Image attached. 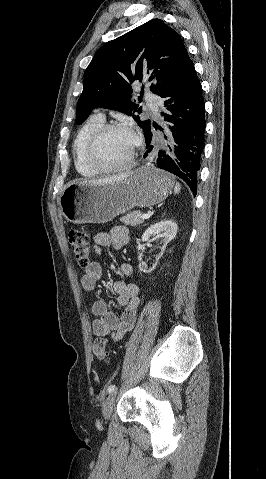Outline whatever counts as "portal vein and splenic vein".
Segmentation results:
<instances>
[{
    "mask_svg": "<svg viewBox=\"0 0 266 479\" xmlns=\"http://www.w3.org/2000/svg\"><path fill=\"white\" fill-rule=\"evenodd\" d=\"M150 216H151L150 214H143V215L141 216V218H142V219H149Z\"/></svg>",
    "mask_w": 266,
    "mask_h": 479,
    "instance_id": "portal-vein-and-splenic-vein-1",
    "label": "portal vein and splenic vein"
}]
</instances>
